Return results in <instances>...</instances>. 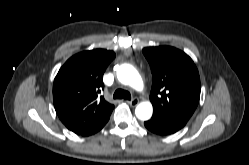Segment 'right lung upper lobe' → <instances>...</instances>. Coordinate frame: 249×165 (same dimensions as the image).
Listing matches in <instances>:
<instances>
[{
	"label": "right lung upper lobe",
	"mask_w": 249,
	"mask_h": 165,
	"mask_svg": "<svg viewBox=\"0 0 249 165\" xmlns=\"http://www.w3.org/2000/svg\"><path fill=\"white\" fill-rule=\"evenodd\" d=\"M113 51L94 49L72 56L53 84V102L62 123L76 134L90 132L107 121L114 106L100 96L103 74Z\"/></svg>",
	"instance_id": "cb5924a9"
}]
</instances>
